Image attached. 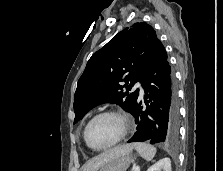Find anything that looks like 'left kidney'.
<instances>
[{"label": "left kidney", "mask_w": 223, "mask_h": 171, "mask_svg": "<svg viewBox=\"0 0 223 171\" xmlns=\"http://www.w3.org/2000/svg\"><path fill=\"white\" fill-rule=\"evenodd\" d=\"M172 171L170 158H163L153 164L147 171Z\"/></svg>", "instance_id": "5707ae66"}]
</instances>
